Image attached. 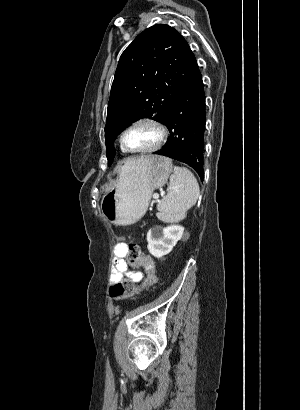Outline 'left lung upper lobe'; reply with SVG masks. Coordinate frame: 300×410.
<instances>
[{"instance_id": "left-lung-upper-lobe-1", "label": "left lung upper lobe", "mask_w": 300, "mask_h": 410, "mask_svg": "<svg viewBox=\"0 0 300 410\" xmlns=\"http://www.w3.org/2000/svg\"><path fill=\"white\" fill-rule=\"evenodd\" d=\"M196 59L177 30L157 24L144 30L122 53L111 87L105 126L108 165L113 140L131 123H163Z\"/></svg>"}]
</instances>
